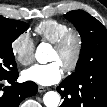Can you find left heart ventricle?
<instances>
[{
	"mask_svg": "<svg viewBox=\"0 0 107 107\" xmlns=\"http://www.w3.org/2000/svg\"><path fill=\"white\" fill-rule=\"evenodd\" d=\"M74 51V44L70 43L69 46L62 52H58L53 48L51 55H50V61H57L63 66L64 64L68 63L72 56Z\"/></svg>",
	"mask_w": 107,
	"mask_h": 107,
	"instance_id": "1",
	"label": "left heart ventricle"
}]
</instances>
